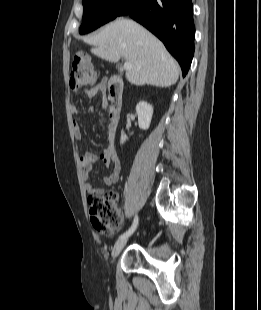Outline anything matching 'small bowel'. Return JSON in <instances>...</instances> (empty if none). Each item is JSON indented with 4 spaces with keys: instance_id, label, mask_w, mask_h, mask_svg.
Returning a JSON list of instances; mask_svg holds the SVG:
<instances>
[{
    "instance_id": "small-bowel-1",
    "label": "small bowel",
    "mask_w": 261,
    "mask_h": 310,
    "mask_svg": "<svg viewBox=\"0 0 261 310\" xmlns=\"http://www.w3.org/2000/svg\"><path fill=\"white\" fill-rule=\"evenodd\" d=\"M105 90L106 82L103 81L97 86L86 90L85 94L87 97L92 98L97 96L98 94L104 93ZM72 113L76 115L79 113V111L76 107H72ZM72 128L75 138L81 139V128L77 121H73ZM107 138L108 145L100 156L93 152H86L80 160L81 172L85 182V189L87 193L91 195H97L102 193V189L95 187L89 179L92 167L95 163L98 162L99 159H101L104 164L110 168L109 174H107L103 179L106 185H112L116 183L120 176L121 163L115 147V129L112 128L111 123L108 125Z\"/></svg>"
}]
</instances>
